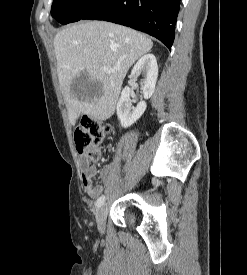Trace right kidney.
Returning <instances> with one entry per match:
<instances>
[{
  "instance_id": "ca27d5eb",
  "label": "right kidney",
  "mask_w": 247,
  "mask_h": 275,
  "mask_svg": "<svg viewBox=\"0 0 247 275\" xmlns=\"http://www.w3.org/2000/svg\"><path fill=\"white\" fill-rule=\"evenodd\" d=\"M140 74L144 77L140 83L144 99H149L155 91L158 77L157 60L153 54L144 55L134 65L131 76L137 79ZM130 97L131 89L126 86L121 93L116 107L117 116L124 128L135 123L142 116L147 107L145 101H140L136 107H133Z\"/></svg>"
}]
</instances>
